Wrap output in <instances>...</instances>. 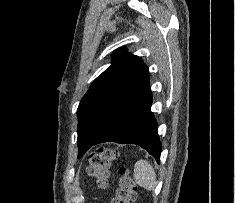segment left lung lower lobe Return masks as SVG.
<instances>
[{
	"label": "left lung lower lobe",
	"mask_w": 235,
	"mask_h": 203,
	"mask_svg": "<svg viewBox=\"0 0 235 203\" xmlns=\"http://www.w3.org/2000/svg\"><path fill=\"white\" fill-rule=\"evenodd\" d=\"M149 77L150 74L131 93L98 137L93 139L92 134L88 133L87 148L103 142L136 144L160 162L162 147L157 133L158 124L150 110L152 93Z\"/></svg>",
	"instance_id": "0a47b994"
}]
</instances>
